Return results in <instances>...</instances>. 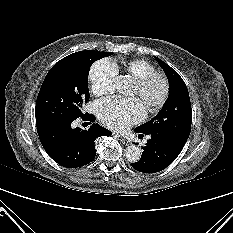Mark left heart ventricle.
Listing matches in <instances>:
<instances>
[{
  "label": "left heart ventricle",
  "mask_w": 233,
  "mask_h": 233,
  "mask_svg": "<svg viewBox=\"0 0 233 233\" xmlns=\"http://www.w3.org/2000/svg\"><path fill=\"white\" fill-rule=\"evenodd\" d=\"M161 89H162V87H161V84L159 82L154 83L148 92V96H147L148 99L154 100V99L158 98V96L161 93ZM135 92L138 94V87L137 86L135 87Z\"/></svg>",
  "instance_id": "left-heart-ventricle-1"
}]
</instances>
